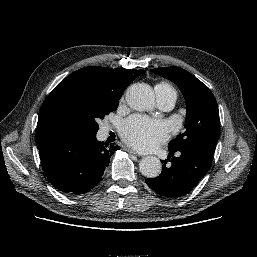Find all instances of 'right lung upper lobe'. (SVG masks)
I'll return each instance as SVG.
<instances>
[{"mask_svg":"<svg viewBox=\"0 0 257 257\" xmlns=\"http://www.w3.org/2000/svg\"><path fill=\"white\" fill-rule=\"evenodd\" d=\"M141 70H114L90 66L79 69L62 80L43 102L37 123L36 144L41 146L52 139L75 134L69 120L66 101L69 93L77 87L87 86L101 94L121 97L124 89Z\"/></svg>","mask_w":257,"mask_h":257,"instance_id":"obj_1","label":"right lung upper lobe"}]
</instances>
